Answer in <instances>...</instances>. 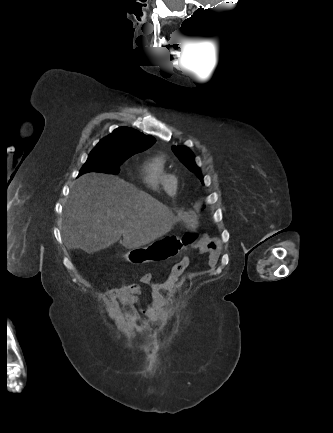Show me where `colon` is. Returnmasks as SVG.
I'll list each match as a JSON object with an SVG mask.
<instances>
[{
    "instance_id": "obj_1",
    "label": "colon",
    "mask_w": 333,
    "mask_h": 433,
    "mask_svg": "<svg viewBox=\"0 0 333 433\" xmlns=\"http://www.w3.org/2000/svg\"><path fill=\"white\" fill-rule=\"evenodd\" d=\"M196 238L193 233L181 236H160L153 244H146L145 249H125L124 262L127 265H159L161 258H176L180 245H190Z\"/></svg>"
}]
</instances>
